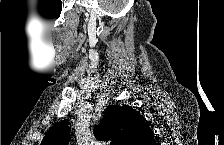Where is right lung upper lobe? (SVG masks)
<instances>
[{
    "mask_svg": "<svg viewBox=\"0 0 224 145\" xmlns=\"http://www.w3.org/2000/svg\"><path fill=\"white\" fill-rule=\"evenodd\" d=\"M68 121L53 125L46 133L41 145H66L70 132ZM95 137L111 141V145H149L153 131L144 118L129 106L109 105L100 123L94 129Z\"/></svg>",
    "mask_w": 224,
    "mask_h": 145,
    "instance_id": "obj_1",
    "label": "right lung upper lobe"
}]
</instances>
